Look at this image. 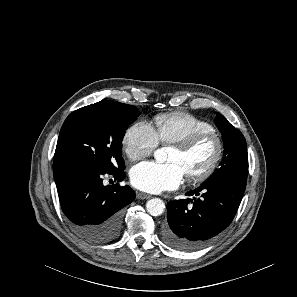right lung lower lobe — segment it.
<instances>
[{"mask_svg":"<svg viewBox=\"0 0 297 297\" xmlns=\"http://www.w3.org/2000/svg\"><path fill=\"white\" fill-rule=\"evenodd\" d=\"M53 174L62 210L75 231L94 243L116 239L123 208L135 199V192L127 185L104 186L106 172L82 162H56ZM108 174L119 182L125 178L122 171Z\"/></svg>","mask_w":297,"mask_h":297,"instance_id":"98d812e1","label":"right lung lower lobe"}]
</instances>
